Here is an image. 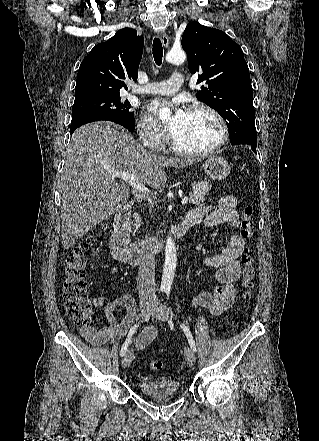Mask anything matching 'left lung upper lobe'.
<instances>
[{"label": "left lung upper lobe", "mask_w": 319, "mask_h": 441, "mask_svg": "<svg viewBox=\"0 0 319 441\" xmlns=\"http://www.w3.org/2000/svg\"><path fill=\"white\" fill-rule=\"evenodd\" d=\"M191 73L204 82L197 98L226 121L231 143L257 144L255 110L248 65L241 47L225 32L197 22L187 24L182 36Z\"/></svg>", "instance_id": "left-lung-upper-lobe-1"}]
</instances>
